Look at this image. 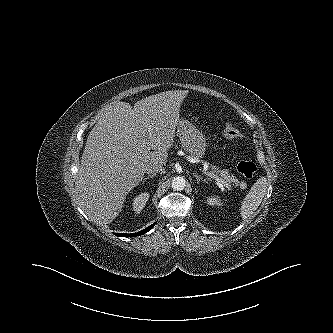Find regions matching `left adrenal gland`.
Wrapping results in <instances>:
<instances>
[{
  "label": "left adrenal gland",
  "mask_w": 333,
  "mask_h": 333,
  "mask_svg": "<svg viewBox=\"0 0 333 333\" xmlns=\"http://www.w3.org/2000/svg\"><path fill=\"white\" fill-rule=\"evenodd\" d=\"M193 176L196 178L197 182L199 183L201 180L206 182V179H203L200 175L193 173Z\"/></svg>",
  "instance_id": "obj_1"
}]
</instances>
